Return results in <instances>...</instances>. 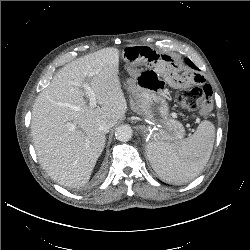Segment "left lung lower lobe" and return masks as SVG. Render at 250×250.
Instances as JSON below:
<instances>
[{
  "label": "left lung lower lobe",
  "instance_id": "obj_1",
  "mask_svg": "<svg viewBox=\"0 0 250 250\" xmlns=\"http://www.w3.org/2000/svg\"><path fill=\"white\" fill-rule=\"evenodd\" d=\"M186 62H187V64H189L191 67L197 69V68L195 67V65H194L189 59H186Z\"/></svg>",
  "mask_w": 250,
  "mask_h": 250
}]
</instances>
